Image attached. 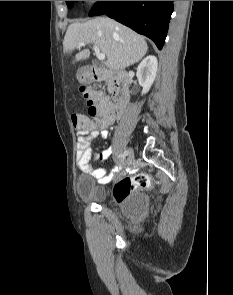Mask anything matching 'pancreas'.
<instances>
[{"label": "pancreas", "mask_w": 233, "mask_h": 295, "mask_svg": "<svg viewBox=\"0 0 233 295\" xmlns=\"http://www.w3.org/2000/svg\"><path fill=\"white\" fill-rule=\"evenodd\" d=\"M106 83H107V86H108V92L112 94L113 91H114V88L112 87V81L107 80Z\"/></svg>", "instance_id": "obj_1"}]
</instances>
